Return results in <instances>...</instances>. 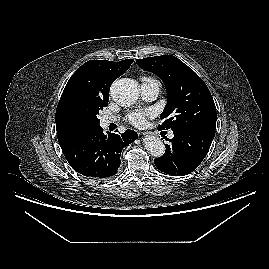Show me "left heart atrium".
I'll list each match as a JSON object with an SVG mask.
<instances>
[{
    "mask_svg": "<svg viewBox=\"0 0 269 269\" xmlns=\"http://www.w3.org/2000/svg\"><path fill=\"white\" fill-rule=\"evenodd\" d=\"M152 115L153 112L150 110L133 111L127 115L126 119L130 124L136 127H140L145 124L147 117H150Z\"/></svg>",
    "mask_w": 269,
    "mask_h": 269,
    "instance_id": "obj_1",
    "label": "left heart atrium"
}]
</instances>
